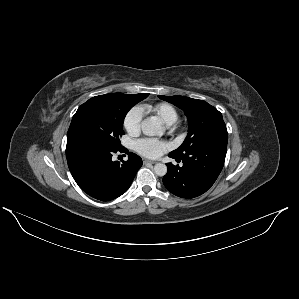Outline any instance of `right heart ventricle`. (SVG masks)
<instances>
[{
  "label": "right heart ventricle",
  "mask_w": 299,
  "mask_h": 299,
  "mask_svg": "<svg viewBox=\"0 0 299 299\" xmlns=\"http://www.w3.org/2000/svg\"><path fill=\"white\" fill-rule=\"evenodd\" d=\"M143 110L157 117L165 125L170 126L178 119V112L174 106L166 102H159L153 105H143Z\"/></svg>",
  "instance_id": "right-heart-ventricle-1"
}]
</instances>
